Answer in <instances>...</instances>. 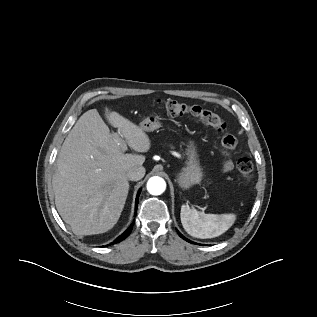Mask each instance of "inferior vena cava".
I'll list each match as a JSON object with an SVG mask.
<instances>
[{
	"instance_id": "602c4592",
	"label": "inferior vena cava",
	"mask_w": 317,
	"mask_h": 317,
	"mask_svg": "<svg viewBox=\"0 0 317 317\" xmlns=\"http://www.w3.org/2000/svg\"><path fill=\"white\" fill-rule=\"evenodd\" d=\"M145 175V168L143 166L132 167L127 172V178L131 181H138L142 179Z\"/></svg>"
}]
</instances>
